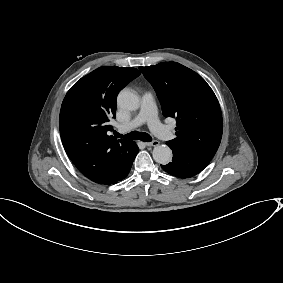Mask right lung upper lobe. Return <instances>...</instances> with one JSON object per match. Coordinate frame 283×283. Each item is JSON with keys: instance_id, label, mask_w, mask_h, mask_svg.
I'll list each match as a JSON object with an SVG mask.
<instances>
[{"instance_id": "1", "label": "right lung upper lobe", "mask_w": 283, "mask_h": 283, "mask_svg": "<svg viewBox=\"0 0 283 283\" xmlns=\"http://www.w3.org/2000/svg\"><path fill=\"white\" fill-rule=\"evenodd\" d=\"M139 75L135 68L100 67L77 81L63 100L59 127L64 149L96 183L114 180L136 156L135 142L116 140L107 132L112 130L108 122L115 118L118 93Z\"/></svg>"}]
</instances>
